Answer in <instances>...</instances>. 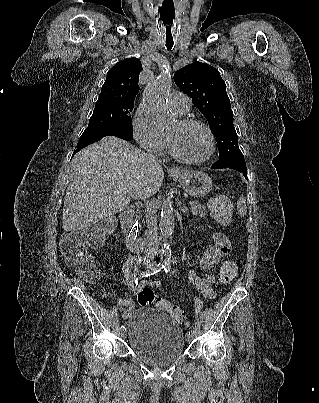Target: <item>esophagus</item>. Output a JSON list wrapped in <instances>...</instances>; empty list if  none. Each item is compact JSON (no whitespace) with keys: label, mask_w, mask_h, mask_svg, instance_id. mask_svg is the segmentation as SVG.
Wrapping results in <instances>:
<instances>
[{"label":"esophagus","mask_w":319,"mask_h":403,"mask_svg":"<svg viewBox=\"0 0 319 403\" xmlns=\"http://www.w3.org/2000/svg\"><path fill=\"white\" fill-rule=\"evenodd\" d=\"M171 171H172V172H178V171H179V169H178V168H176V167H173V168L171 169Z\"/></svg>","instance_id":"1"}]
</instances>
